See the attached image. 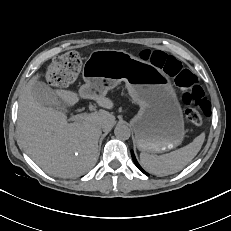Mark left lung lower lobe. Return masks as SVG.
Segmentation results:
<instances>
[{
  "label": "left lung lower lobe",
  "instance_id": "1",
  "mask_svg": "<svg viewBox=\"0 0 231 231\" xmlns=\"http://www.w3.org/2000/svg\"><path fill=\"white\" fill-rule=\"evenodd\" d=\"M131 155H132V158H133V160H134L136 166L139 168V170L142 171L144 174L148 175V174L141 168V166L138 164V162H137V160H136V158H135V156H134V153H133L132 151H131Z\"/></svg>",
  "mask_w": 231,
  "mask_h": 231
}]
</instances>
